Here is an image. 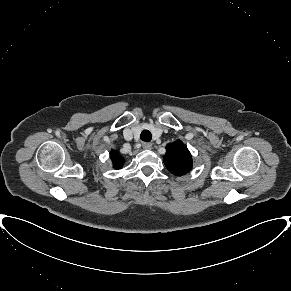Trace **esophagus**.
<instances>
[{"label": "esophagus", "instance_id": "obj_1", "mask_svg": "<svg viewBox=\"0 0 291 291\" xmlns=\"http://www.w3.org/2000/svg\"><path fill=\"white\" fill-rule=\"evenodd\" d=\"M142 147H143V149H145V150H150V149L152 148V144H151V143H148V142H144V143L142 144Z\"/></svg>", "mask_w": 291, "mask_h": 291}]
</instances>
